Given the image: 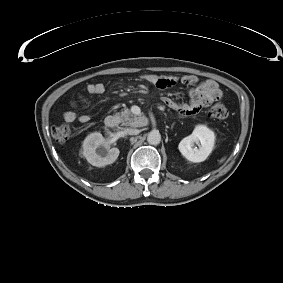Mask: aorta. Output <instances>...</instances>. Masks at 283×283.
Masks as SVG:
<instances>
[{
	"label": "aorta",
	"mask_w": 283,
	"mask_h": 283,
	"mask_svg": "<svg viewBox=\"0 0 283 283\" xmlns=\"http://www.w3.org/2000/svg\"><path fill=\"white\" fill-rule=\"evenodd\" d=\"M147 141L151 145H158L161 141V134L157 130L148 133Z\"/></svg>",
	"instance_id": "762f6f07"
}]
</instances>
